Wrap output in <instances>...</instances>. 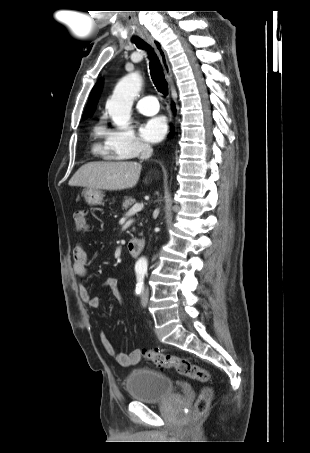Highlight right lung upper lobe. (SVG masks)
Here are the masks:
<instances>
[{"label": "right lung upper lobe", "mask_w": 310, "mask_h": 453, "mask_svg": "<svg viewBox=\"0 0 310 453\" xmlns=\"http://www.w3.org/2000/svg\"><path fill=\"white\" fill-rule=\"evenodd\" d=\"M101 88H102V80L100 79L96 83V85L93 87V89L91 91V94H90V97H89V100H88V104H87V107H86V109L84 111L82 119L88 118L94 112L96 104H97L98 99H99Z\"/></svg>", "instance_id": "obj_1"}]
</instances>
